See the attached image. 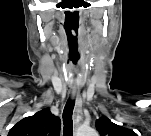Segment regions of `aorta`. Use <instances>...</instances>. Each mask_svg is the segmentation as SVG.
<instances>
[{
    "instance_id": "1",
    "label": "aorta",
    "mask_w": 151,
    "mask_h": 136,
    "mask_svg": "<svg viewBox=\"0 0 151 136\" xmlns=\"http://www.w3.org/2000/svg\"><path fill=\"white\" fill-rule=\"evenodd\" d=\"M90 134L95 136V135H96V132H91Z\"/></svg>"
}]
</instances>
